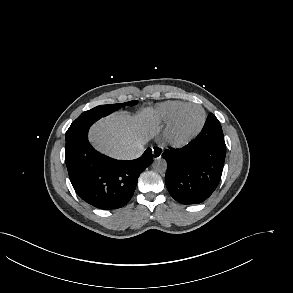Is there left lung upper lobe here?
<instances>
[{"label":"left lung upper lobe","mask_w":293,"mask_h":293,"mask_svg":"<svg viewBox=\"0 0 293 293\" xmlns=\"http://www.w3.org/2000/svg\"><path fill=\"white\" fill-rule=\"evenodd\" d=\"M208 117L212 118L216 124L220 125V122L218 121V119H217L212 113H210V114L208 115ZM220 126H221V125H220Z\"/></svg>","instance_id":"left-lung-upper-lobe-1"}]
</instances>
